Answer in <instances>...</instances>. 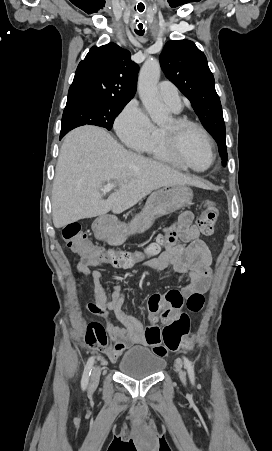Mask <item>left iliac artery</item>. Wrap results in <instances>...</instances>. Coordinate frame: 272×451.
I'll use <instances>...</instances> for the list:
<instances>
[{
    "label": "left iliac artery",
    "mask_w": 272,
    "mask_h": 451,
    "mask_svg": "<svg viewBox=\"0 0 272 451\" xmlns=\"http://www.w3.org/2000/svg\"><path fill=\"white\" fill-rule=\"evenodd\" d=\"M183 359H184L185 367L187 368V371H188V375H189L190 381H191L192 384H194L195 375H194L193 365L186 357H183Z\"/></svg>",
    "instance_id": "1"
}]
</instances>
